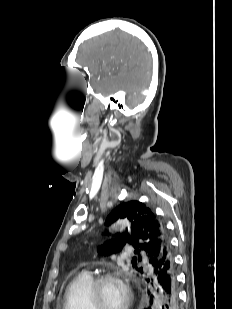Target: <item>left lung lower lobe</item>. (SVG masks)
<instances>
[{
    "label": "left lung lower lobe",
    "instance_id": "left-lung-lower-lobe-1",
    "mask_svg": "<svg viewBox=\"0 0 232 309\" xmlns=\"http://www.w3.org/2000/svg\"><path fill=\"white\" fill-rule=\"evenodd\" d=\"M144 280L149 286L145 309H177V281L174 256L169 245L152 259Z\"/></svg>",
    "mask_w": 232,
    "mask_h": 309
}]
</instances>
